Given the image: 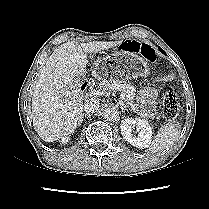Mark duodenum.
<instances>
[{
    "label": "duodenum",
    "instance_id": "obj_1",
    "mask_svg": "<svg viewBox=\"0 0 209 209\" xmlns=\"http://www.w3.org/2000/svg\"><path fill=\"white\" fill-rule=\"evenodd\" d=\"M78 84H79V87L81 88V90H85L88 85V80L84 77H80L78 79Z\"/></svg>",
    "mask_w": 209,
    "mask_h": 209
}]
</instances>
